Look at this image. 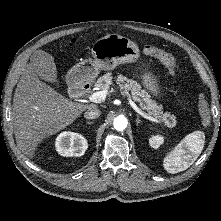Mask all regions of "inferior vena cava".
I'll return each instance as SVG.
<instances>
[{
    "label": "inferior vena cava",
    "instance_id": "1",
    "mask_svg": "<svg viewBox=\"0 0 221 221\" xmlns=\"http://www.w3.org/2000/svg\"><path fill=\"white\" fill-rule=\"evenodd\" d=\"M101 111L98 108H90L84 113L86 119H96L100 116Z\"/></svg>",
    "mask_w": 221,
    "mask_h": 221
}]
</instances>
